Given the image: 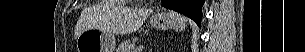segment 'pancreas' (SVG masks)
Returning a JSON list of instances; mask_svg holds the SVG:
<instances>
[{"mask_svg": "<svg viewBox=\"0 0 305 52\" xmlns=\"http://www.w3.org/2000/svg\"><path fill=\"white\" fill-rule=\"evenodd\" d=\"M134 45L127 41L118 47V52H133Z\"/></svg>", "mask_w": 305, "mask_h": 52, "instance_id": "obj_1", "label": "pancreas"}]
</instances>
